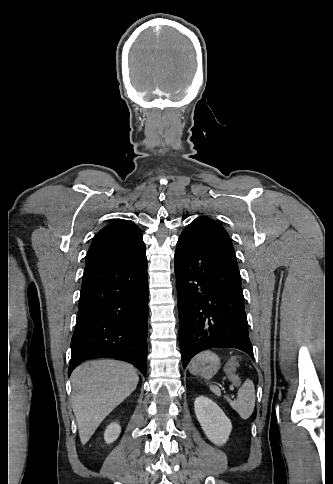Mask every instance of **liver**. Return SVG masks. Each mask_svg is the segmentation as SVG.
I'll return each instance as SVG.
<instances>
[{"instance_id": "obj_1", "label": "liver", "mask_w": 333, "mask_h": 484, "mask_svg": "<svg viewBox=\"0 0 333 484\" xmlns=\"http://www.w3.org/2000/svg\"><path fill=\"white\" fill-rule=\"evenodd\" d=\"M138 381L131 365L115 360L85 362L72 372V406L83 445L104 418L136 389Z\"/></svg>"}]
</instances>
